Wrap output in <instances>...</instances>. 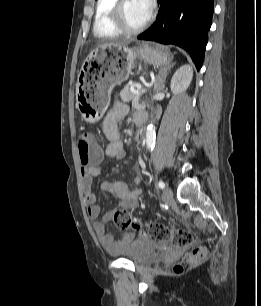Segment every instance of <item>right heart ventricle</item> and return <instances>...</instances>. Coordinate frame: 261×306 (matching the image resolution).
Returning <instances> with one entry per match:
<instances>
[{
    "label": "right heart ventricle",
    "mask_w": 261,
    "mask_h": 306,
    "mask_svg": "<svg viewBox=\"0 0 261 306\" xmlns=\"http://www.w3.org/2000/svg\"><path fill=\"white\" fill-rule=\"evenodd\" d=\"M116 1L97 0L93 20V34L95 37L114 39L123 34L113 22L112 9Z\"/></svg>",
    "instance_id": "obj_1"
}]
</instances>
